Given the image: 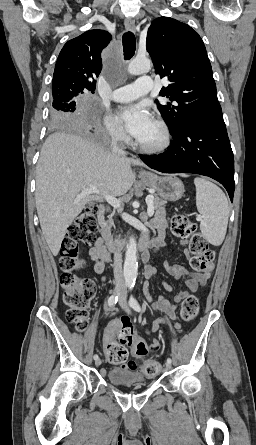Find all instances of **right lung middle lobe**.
Here are the masks:
<instances>
[{
	"label": "right lung middle lobe",
	"mask_w": 256,
	"mask_h": 445,
	"mask_svg": "<svg viewBox=\"0 0 256 445\" xmlns=\"http://www.w3.org/2000/svg\"><path fill=\"white\" fill-rule=\"evenodd\" d=\"M83 93L66 91L53 94L50 121L54 126L72 125L77 120V100Z\"/></svg>",
	"instance_id": "dd1d6c3e"
}]
</instances>
